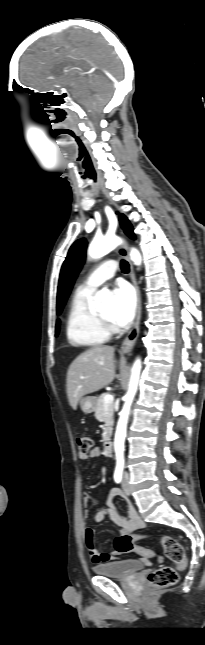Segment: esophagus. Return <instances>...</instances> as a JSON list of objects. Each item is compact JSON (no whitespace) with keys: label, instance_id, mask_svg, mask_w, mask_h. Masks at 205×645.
Instances as JSON below:
<instances>
[{"label":"esophagus","instance_id":"34e87169","mask_svg":"<svg viewBox=\"0 0 205 645\" xmlns=\"http://www.w3.org/2000/svg\"><path fill=\"white\" fill-rule=\"evenodd\" d=\"M119 253L122 256H125L127 260L129 261L130 264V278L131 281L135 287L136 290V295H137V313H136V320L133 328L130 330V332L127 334L126 338L124 339L122 346H121V351L123 353H128L131 351L133 348L138 336H139V330H140V319H141V296H140V289L135 277V272H134V267L132 262L130 261L129 258V253H128V248L125 244H122L119 247Z\"/></svg>","mask_w":205,"mask_h":645}]
</instances>
